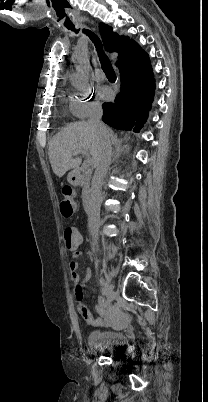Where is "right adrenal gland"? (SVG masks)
I'll return each instance as SVG.
<instances>
[{
	"mask_svg": "<svg viewBox=\"0 0 208 402\" xmlns=\"http://www.w3.org/2000/svg\"><path fill=\"white\" fill-rule=\"evenodd\" d=\"M116 152H118V150H116ZM120 152H123V154H124V152H127V150H125V148H124V150H120Z\"/></svg>",
	"mask_w": 208,
	"mask_h": 402,
	"instance_id": "obj_1",
	"label": "right adrenal gland"
}]
</instances>
